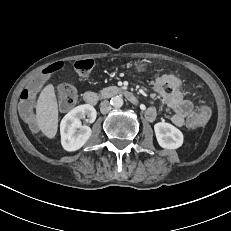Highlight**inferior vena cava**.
Here are the masks:
<instances>
[{
	"label": "inferior vena cava",
	"mask_w": 231,
	"mask_h": 231,
	"mask_svg": "<svg viewBox=\"0 0 231 231\" xmlns=\"http://www.w3.org/2000/svg\"><path fill=\"white\" fill-rule=\"evenodd\" d=\"M111 110V105L108 101H103L100 104V111L102 114H107Z\"/></svg>",
	"instance_id": "obj_1"
}]
</instances>
